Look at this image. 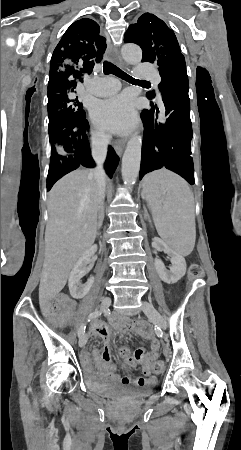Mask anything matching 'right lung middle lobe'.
Here are the masks:
<instances>
[{
    "mask_svg": "<svg viewBox=\"0 0 241 450\" xmlns=\"http://www.w3.org/2000/svg\"><path fill=\"white\" fill-rule=\"evenodd\" d=\"M74 93H69L56 99H48L51 158L74 153L72 144L61 132V127L86 119L83 105Z\"/></svg>",
    "mask_w": 241,
    "mask_h": 450,
    "instance_id": "obj_1",
    "label": "right lung middle lobe"
}]
</instances>
